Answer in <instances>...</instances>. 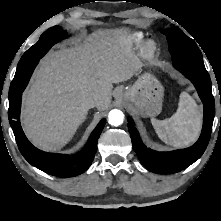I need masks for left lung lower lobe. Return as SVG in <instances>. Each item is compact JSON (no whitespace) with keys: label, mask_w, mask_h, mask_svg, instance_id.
Here are the masks:
<instances>
[{"label":"left lung lower lobe","mask_w":221,"mask_h":221,"mask_svg":"<svg viewBox=\"0 0 221 221\" xmlns=\"http://www.w3.org/2000/svg\"><path fill=\"white\" fill-rule=\"evenodd\" d=\"M173 66L183 73L196 87L204 105L203 128L198 141L191 147L171 152H158L146 147L131 118H128V130L133 149L139 160L150 171L159 174L179 172L194 163L205 151L215 116V103L211 90V80L205 67L182 61H173Z\"/></svg>","instance_id":"1"}]
</instances>
